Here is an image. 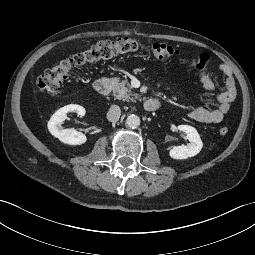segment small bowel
Segmentation results:
<instances>
[{
    "label": "small bowel",
    "instance_id": "obj_1",
    "mask_svg": "<svg viewBox=\"0 0 255 255\" xmlns=\"http://www.w3.org/2000/svg\"><path fill=\"white\" fill-rule=\"evenodd\" d=\"M218 69L225 77V89L222 91H217L215 81L208 74L205 72L199 74L197 72V77L202 86L215 93L218 106L216 108L198 107L191 110L189 112V117L196 122L204 124H216L221 122L236 99V82L231 68L225 64H221Z\"/></svg>",
    "mask_w": 255,
    "mask_h": 255
}]
</instances>
